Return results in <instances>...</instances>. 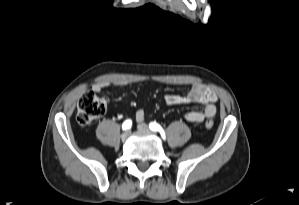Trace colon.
Here are the masks:
<instances>
[{
  "label": "colon",
  "mask_w": 299,
  "mask_h": 205,
  "mask_svg": "<svg viewBox=\"0 0 299 205\" xmlns=\"http://www.w3.org/2000/svg\"><path fill=\"white\" fill-rule=\"evenodd\" d=\"M108 101L105 97L98 95L93 90H87L78 102L77 122L80 125H88L95 119L105 114ZM214 123L211 119H206L205 127L211 129Z\"/></svg>",
  "instance_id": "5ec220e1"
}]
</instances>
